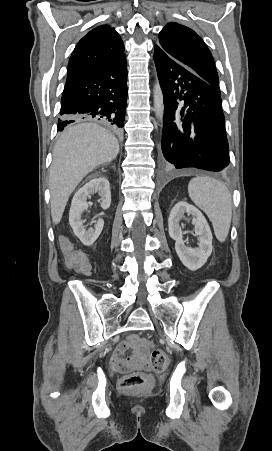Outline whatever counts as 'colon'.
Instances as JSON below:
<instances>
[{"label":"colon","mask_w":272,"mask_h":451,"mask_svg":"<svg viewBox=\"0 0 272 451\" xmlns=\"http://www.w3.org/2000/svg\"><path fill=\"white\" fill-rule=\"evenodd\" d=\"M59 242L62 250L69 257L68 265L72 267L73 271H86L87 260L85 259V253L80 250V247H72L70 242L64 237H60ZM123 345L118 347L122 348ZM141 349L132 356H121V354L114 356L113 366L120 370L121 374H125L120 382L124 389L135 387L150 388L155 385L152 375L137 371V366L148 363L151 364L155 372H163L169 366V357L165 352L161 351L160 345H153L152 342H142Z\"/></svg>","instance_id":"1"}]
</instances>
